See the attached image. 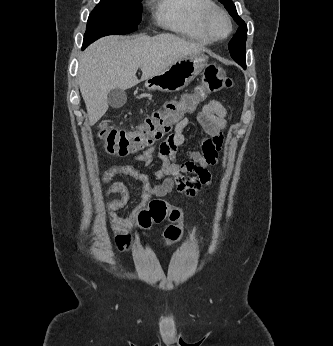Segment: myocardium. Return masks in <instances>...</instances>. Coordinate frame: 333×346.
<instances>
[{"label":"myocardium","instance_id":"myocardium-1","mask_svg":"<svg viewBox=\"0 0 333 346\" xmlns=\"http://www.w3.org/2000/svg\"><path fill=\"white\" fill-rule=\"evenodd\" d=\"M221 15L227 22L228 25V29L227 32L223 35V36H216L215 33L212 30V26H211V21L214 15ZM203 25L204 28L206 29L207 33L209 34V36L212 39L218 40V39H224L227 38L233 29V25H232V20L230 15L220 6L218 5H212L211 7H209L204 15H203Z\"/></svg>","mask_w":333,"mask_h":346}]
</instances>
